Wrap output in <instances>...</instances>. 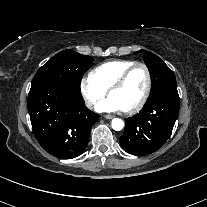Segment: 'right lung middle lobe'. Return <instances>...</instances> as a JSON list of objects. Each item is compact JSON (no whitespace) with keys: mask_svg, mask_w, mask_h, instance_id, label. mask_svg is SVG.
I'll return each instance as SVG.
<instances>
[{"mask_svg":"<svg viewBox=\"0 0 207 207\" xmlns=\"http://www.w3.org/2000/svg\"><path fill=\"white\" fill-rule=\"evenodd\" d=\"M93 59L67 49L53 56L35 74L31 86L41 83L64 85L80 92V83L84 73L93 65Z\"/></svg>","mask_w":207,"mask_h":207,"instance_id":"right-lung-middle-lobe-1","label":"right lung middle lobe"}]
</instances>
